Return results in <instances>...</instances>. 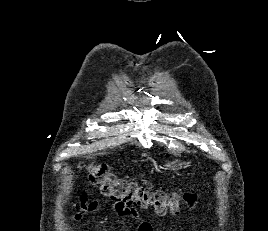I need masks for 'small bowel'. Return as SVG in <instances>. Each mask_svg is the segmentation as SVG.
Segmentation results:
<instances>
[{
  "instance_id": "obj_1",
  "label": "small bowel",
  "mask_w": 268,
  "mask_h": 231,
  "mask_svg": "<svg viewBox=\"0 0 268 231\" xmlns=\"http://www.w3.org/2000/svg\"><path fill=\"white\" fill-rule=\"evenodd\" d=\"M80 211L76 212L73 216L74 221H79L83 218L84 213L96 217V210L98 202L96 200H90L85 195L80 200ZM116 212L120 216H131L138 224V231H152L150 222L143 220L134 208L120 207L119 204L114 205Z\"/></svg>"
}]
</instances>
